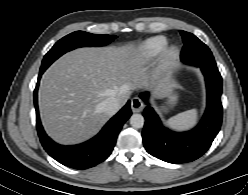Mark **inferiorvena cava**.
Here are the masks:
<instances>
[{
  "label": "inferior vena cava",
  "mask_w": 248,
  "mask_h": 195,
  "mask_svg": "<svg viewBox=\"0 0 248 195\" xmlns=\"http://www.w3.org/2000/svg\"><path fill=\"white\" fill-rule=\"evenodd\" d=\"M120 108V102L116 97H108L98 105V109L107 115L115 114Z\"/></svg>",
  "instance_id": "obj_1"
}]
</instances>
